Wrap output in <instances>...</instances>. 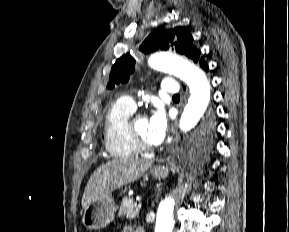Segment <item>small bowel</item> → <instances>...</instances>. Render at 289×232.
<instances>
[{"label":"small bowel","instance_id":"c3829d8e","mask_svg":"<svg viewBox=\"0 0 289 232\" xmlns=\"http://www.w3.org/2000/svg\"><path fill=\"white\" fill-rule=\"evenodd\" d=\"M122 232H138V229H134L131 226H126L123 228Z\"/></svg>","mask_w":289,"mask_h":232}]
</instances>
